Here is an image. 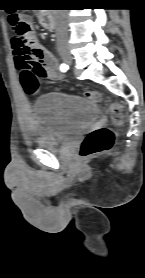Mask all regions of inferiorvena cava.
Masks as SVG:
<instances>
[{"label": "inferior vena cava", "instance_id": "obj_1", "mask_svg": "<svg viewBox=\"0 0 145 278\" xmlns=\"http://www.w3.org/2000/svg\"><path fill=\"white\" fill-rule=\"evenodd\" d=\"M56 38L58 44L66 43L68 40L66 13L63 10H58Z\"/></svg>", "mask_w": 145, "mask_h": 278}]
</instances>
